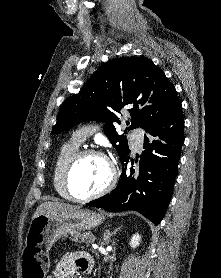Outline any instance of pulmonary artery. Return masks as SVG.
Instances as JSON below:
<instances>
[{
  "instance_id": "obj_1",
  "label": "pulmonary artery",
  "mask_w": 221,
  "mask_h": 278,
  "mask_svg": "<svg viewBox=\"0 0 221 278\" xmlns=\"http://www.w3.org/2000/svg\"><path fill=\"white\" fill-rule=\"evenodd\" d=\"M94 127L92 126H85L81 128L80 130L76 131L73 135V137L80 141L83 142L85 141L93 132H94ZM143 133L141 131H134L131 136L132 144L134 147V150L138 151L141 149L143 145Z\"/></svg>"
}]
</instances>
